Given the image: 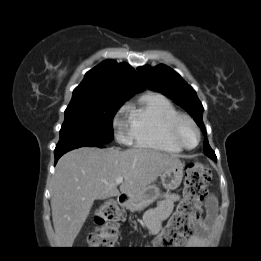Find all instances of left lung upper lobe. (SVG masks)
I'll return each instance as SVG.
<instances>
[{
    "label": "left lung upper lobe",
    "instance_id": "left-lung-upper-lobe-1",
    "mask_svg": "<svg viewBox=\"0 0 261 261\" xmlns=\"http://www.w3.org/2000/svg\"><path fill=\"white\" fill-rule=\"evenodd\" d=\"M138 73L147 88L164 94L181 107L187 109V112L194 118L202 132L206 134L202 121L203 106L193 88L178 73L163 64L153 68L148 65L139 67ZM204 153L216 161V155L207 140L204 141Z\"/></svg>",
    "mask_w": 261,
    "mask_h": 261
}]
</instances>
